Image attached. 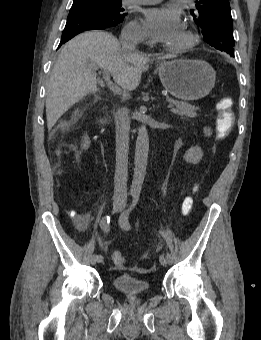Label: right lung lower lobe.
Instances as JSON below:
<instances>
[{
  "label": "right lung lower lobe",
  "mask_w": 261,
  "mask_h": 340,
  "mask_svg": "<svg viewBox=\"0 0 261 340\" xmlns=\"http://www.w3.org/2000/svg\"><path fill=\"white\" fill-rule=\"evenodd\" d=\"M117 23L104 20L98 15L87 11H72L67 18L66 26L62 33L61 46L80 32L87 30H101L116 26Z\"/></svg>",
  "instance_id": "right-lung-lower-lobe-1"
}]
</instances>
